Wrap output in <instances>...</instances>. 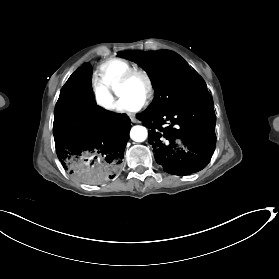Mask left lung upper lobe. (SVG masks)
I'll return each instance as SVG.
<instances>
[{"instance_id": "left-lung-upper-lobe-1", "label": "left lung upper lobe", "mask_w": 279, "mask_h": 279, "mask_svg": "<svg viewBox=\"0 0 279 279\" xmlns=\"http://www.w3.org/2000/svg\"><path fill=\"white\" fill-rule=\"evenodd\" d=\"M119 56L138 63L149 74L155 98L146 114L168 111L194 95L206 91L205 83L189 65L170 51L121 52Z\"/></svg>"}]
</instances>
